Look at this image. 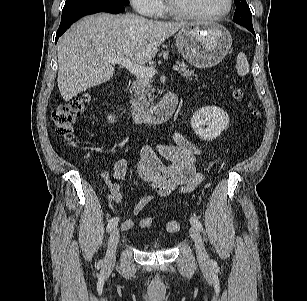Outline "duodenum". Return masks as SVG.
<instances>
[{"mask_svg":"<svg viewBox=\"0 0 307 301\" xmlns=\"http://www.w3.org/2000/svg\"><path fill=\"white\" fill-rule=\"evenodd\" d=\"M177 103V94L169 92L156 106L145 107L138 103L128 102V109L139 123L162 124L174 114Z\"/></svg>","mask_w":307,"mask_h":301,"instance_id":"1","label":"duodenum"}]
</instances>
